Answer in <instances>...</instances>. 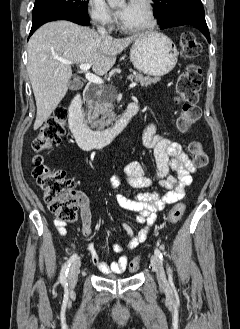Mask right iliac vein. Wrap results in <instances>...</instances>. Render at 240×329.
Wrapping results in <instances>:
<instances>
[{
  "mask_svg": "<svg viewBox=\"0 0 240 329\" xmlns=\"http://www.w3.org/2000/svg\"><path fill=\"white\" fill-rule=\"evenodd\" d=\"M80 265H81V262L79 259H77L72 263V265L70 267V270L68 273V281H69V287L71 289H73L77 284Z\"/></svg>",
  "mask_w": 240,
  "mask_h": 329,
  "instance_id": "63e3f726",
  "label": "right iliac vein"
}]
</instances>
